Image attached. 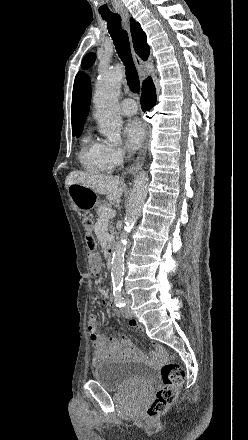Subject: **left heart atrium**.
I'll return each instance as SVG.
<instances>
[{
  "mask_svg": "<svg viewBox=\"0 0 248 440\" xmlns=\"http://www.w3.org/2000/svg\"><path fill=\"white\" fill-rule=\"evenodd\" d=\"M124 136L131 150L139 148L145 137V130L138 119L130 120L124 129Z\"/></svg>",
  "mask_w": 248,
  "mask_h": 440,
  "instance_id": "left-heart-atrium-1",
  "label": "left heart atrium"
}]
</instances>
